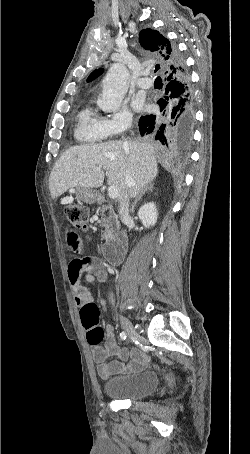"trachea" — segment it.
<instances>
[{"instance_id":"obj_1","label":"trachea","mask_w":250,"mask_h":454,"mask_svg":"<svg viewBox=\"0 0 250 454\" xmlns=\"http://www.w3.org/2000/svg\"><path fill=\"white\" fill-rule=\"evenodd\" d=\"M159 68H160L159 65L155 66V72H156ZM160 80H161L160 77H157V78H156V82H157V81H160Z\"/></svg>"}]
</instances>
